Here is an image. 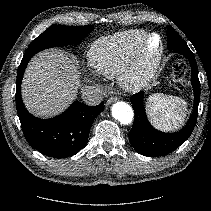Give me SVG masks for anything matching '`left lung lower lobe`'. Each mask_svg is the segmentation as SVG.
<instances>
[{
  "mask_svg": "<svg viewBox=\"0 0 211 211\" xmlns=\"http://www.w3.org/2000/svg\"><path fill=\"white\" fill-rule=\"evenodd\" d=\"M168 49L186 57L191 65V81L194 89V106L186 126L175 133H163L151 126L143 106L144 93L134 94L130 101L133 105L135 119L129 133V141L134 149L141 155L157 157L168 154L182 145L191 135L197 122L198 105L200 101V83L198 68L194 54L187 44L177 36L169 35Z\"/></svg>",
  "mask_w": 211,
  "mask_h": 211,
  "instance_id": "left-lung-lower-lobe-1",
  "label": "left lung lower lobe"
}]
</instances>
